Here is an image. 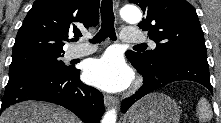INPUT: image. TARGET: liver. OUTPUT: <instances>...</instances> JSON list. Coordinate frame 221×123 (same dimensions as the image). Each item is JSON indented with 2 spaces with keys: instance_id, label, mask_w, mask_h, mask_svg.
<instances>
[{
  "instance_id": "6515ba94",
  "label": "liver",
  "mask_w": 221,
  "mask_h": 123,
  "mask_svg": "<svg viewBox=\"0 0 221 123\" xmlns=\"http://www.w3.org/2000/svg\"><path fill=\"white\" fill-rule=\"evenodd\" d=\"M0 123H80L74 114L55 104L25 101L6 109Z\"/></svg>"
}]
</instances>
